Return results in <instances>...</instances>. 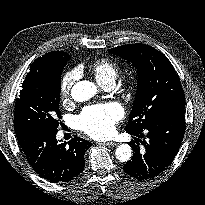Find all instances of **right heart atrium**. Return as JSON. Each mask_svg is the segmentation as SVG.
<instances>
[{"mask_svg": "<svg viewBox=\"0 0 205 205\" xmlns=\"http://www.w3.org/2000/svg\"><path fill=\"white\" fill-rule=\"evenodd\" d=\"M78 78L76 70H71L65 73L60 84V96L62 99H68L71 89Z\"/></svg>", "mask_w": 205, "mask_h": 205, "instance_id": "d8ad5b80", "label": "right heart atrium"}]
</instances>
